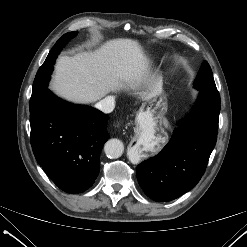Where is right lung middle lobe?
Wrapping results in <instances>:
<instances>
[{"mask_svg": "<svg viewBox=\"0 0 247 247\" xmlns=\"http://www.w3.org/2000/svg\"><path fill=\"white\" fill-rule=\"evenodd\" d=\"M76 35V32L64 34L53 46L45 62L39 68L33 83V91L30 99V111L33 110L41 101L44 94L48 91V82L53 71V64L57 55L60 53L65 43Z\"/></svg>", "mask_w": 247, "mask_h": 247, "instance_id": "right-lung-middle-lobe-1", "label": "right lung middle lobe"}]
</instances>
